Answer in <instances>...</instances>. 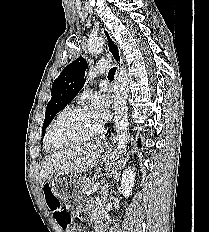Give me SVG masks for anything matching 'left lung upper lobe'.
Masks as SVG:
<instances>
[{"instance_id":"obj_1","label":"left lung upper lobe","mask_w":209,"mask_h":232,"mask_svg":"<svg viewBox=\"0 0 209 232\" xmlns=\"http://www.w3.org/2000/svg\"><path fill=\"white\" fill-rule=\"evenodd\" d=\"M88 67L83 57L70 63L55 79L51 90V99L47 104L42 134L56 114L69 104L85 83V72Z\"/></svg>"}]
</instances>
